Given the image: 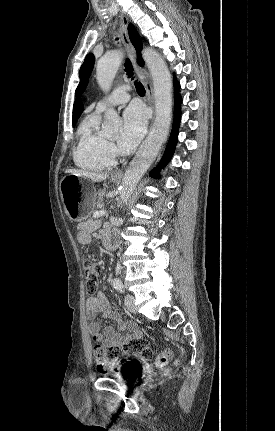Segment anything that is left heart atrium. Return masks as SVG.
Returning a JSON list of instances; mask_svg holds the SVG:
<instances>
[{
	"instance_id": "39dd6f15",
	"label": "left heart atrium",
	"mask_w": 275,
	"mask_h": 431,
	"mask_svg": "<svg viewBox=\"0 0 275 431\" xmlns=\"http://www.w3.org/2000/svg\"><path fill=\"white\" fill-rule=\"evenodd\" d=\"M147 115L139 105L129 106L123 114V130L119 137V146L124 150L135 148L145 135Z\"/></svg>"
}]
</instances>
